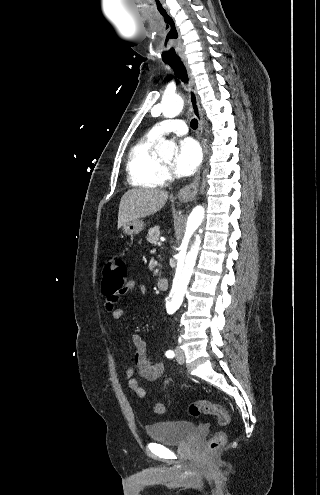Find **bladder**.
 Listing matches in <instances>:
<instances>
[{"instance_id":"31cf9c89","label":"bladder","mask_w":320,"mask_h":495,"mask_svg":"<svg viewBox=\"0 0 320 495\" xmlns=\"http://www.w3.org/2000/svg\"><path fill=\"white\" fill-rule=\"evenodd\" d=\"M196 428L191 421H159L148 425L146 431L155 441L177 445L191 437Z\"/></svg>"}]
</instances>
